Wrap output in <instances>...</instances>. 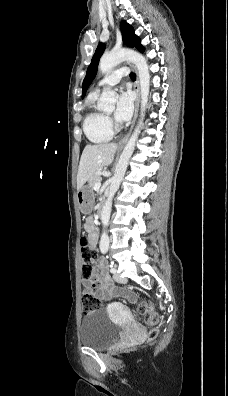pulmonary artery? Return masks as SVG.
<instances>
[{
    "instance_id": "pulmonary-artery-1",
    "label": "pulmonary artery",
    "mask_w": 228,
    "mask_h": 396,
    "mask_svg": "<svg viewBox=\"0 0 228 396\" xmlns=\"http://www.w3.org/2000/svg\"><path fill=\"white\" fill-rule=\"evenodd\" d=\"M127 74L128 71L126 68H120L107 74L97 83L94 93H98L103 87H110L116 85L117 83H119L121 78L126 76Z\"/></svg>"
}]
</instances>
